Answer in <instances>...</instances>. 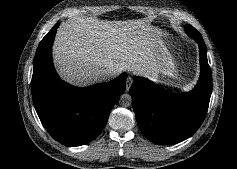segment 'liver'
Wrapping results in <instances>:
<instances>
[{
	"label": "liver",
	"mask_w": 237,
	"mask_h": 169,
	"mask_svg": "<svg viewBox=\"0 0 237 169\" xmlns=\"http://www.w3.org/2000/svg\"><path fill=\"white\" fill-rule=\"evenodd\" d=\"M161 37L159 30L143 23L129 28L117 21L77 18L58 31L55 58L61 76L84 87L103 81L104 69L138 74L157 71Z\"/></svg>",
	"instance_id": "liver-1"
}]
</instances>
